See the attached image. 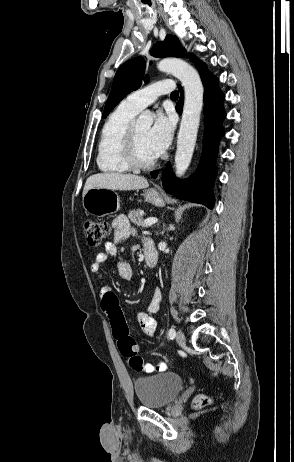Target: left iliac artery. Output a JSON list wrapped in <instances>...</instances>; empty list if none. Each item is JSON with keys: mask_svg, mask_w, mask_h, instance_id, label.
Masks as SVG:
<instances>
[{"mask_svg": "<svg viewBox=\"0 0 294 462\" xmlns=\"http://www.w3.org/2000/svg\"><path fill=\"white\" fill-rule=\"evenodd\" d=\"M176 335V332H175V329L174 328H171L169 331H168V337L170 339H173Z\"/></svg>", "mask_w": 294, "mask_h": 462, "instance_id": "obj_1", "label": "left iliac artery"}]
</instances>
